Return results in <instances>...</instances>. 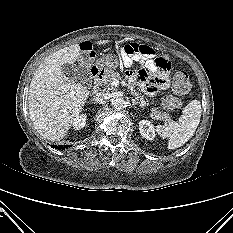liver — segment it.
Masks as SVG:
<instances>
[{"label": "liver", "mask_w": 233, "mask_h": 233, "mask_svg": "<svg viewBox=\"0 0 233 233\" xmlns=\"http://www.w3.org/2000/svg\"><path fill=\"white\" fill-rule=\"evenodd\" d=\"M107 43L109 40L97 42L98 45ZM79 57V44L60 49L39 65L31 80L29 115L34 128L45 139H62L89 96L86 87L71 81L62 72L63 65L73 64Z\"/></svg>", "instance_id": "liver-1"}]
</instances>
